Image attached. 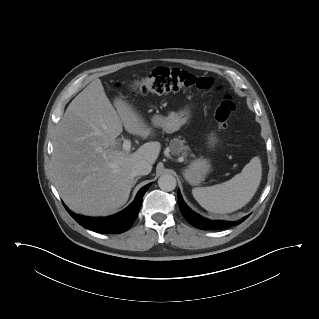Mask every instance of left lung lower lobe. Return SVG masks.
Returning <instances> with one entry per match:
<instances>
[{
	"mask_svg": "<svg viewBox=\"0 0 319 319\" xmlns=\"http://www.w3.org/2000/svg\"><path fill=\"white\" fill-rule=\"evenodd\" d=\"M178 204L181 210V213L185 219L194 227L202 230H211V229H223L230 226H235L243 222L248 216L242 218L239 221H211L206 218L201 217L200 215L191 211L186 204L184 203L180 192L178 191Z\"/></svg>",
	"mask_w": 319,
	"mask_h": 319,
	"instance_id": "0a47b994",
	"label": "left lung lower lobe"
}]
</instances>
